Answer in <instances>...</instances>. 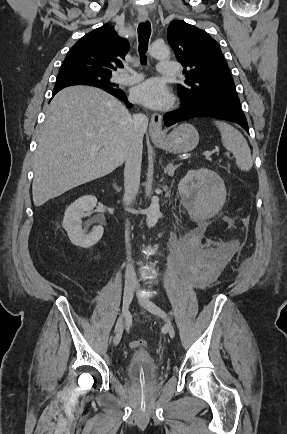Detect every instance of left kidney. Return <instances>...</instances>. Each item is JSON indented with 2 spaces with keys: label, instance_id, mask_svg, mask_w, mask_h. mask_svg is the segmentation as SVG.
Instances as JSON below:
<instances>
[{
  "label": "left kidney",
  "instance_id": "obj_1",
  "mask_svg": "<svg viewBox=\"0 0 287 434\" xmlns=\"http://www.w3.org/2000/svg\"><path fill=\"white\" fill-rule=\"evenodd\" d=\"M178 190L183 202L193 208L217 212L225 202L226 188L220 176L209 169L190 170L180 181Z\"/></svg>",
  "mask_w": 287,
  "mask_h": 434
}]
</instances>
